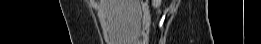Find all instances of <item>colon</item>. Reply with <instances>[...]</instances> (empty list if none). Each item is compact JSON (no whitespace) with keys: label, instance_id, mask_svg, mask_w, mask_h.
<instances>
[{"label":"colon","instance_id":"colon-1","mask_svg":"<svg viewBox=\"0 0 261 44\" xmlns=\"http://www.w3.org/2000/svg\"><path fill=\"white\" fill-rule=\"evenodd\" d=\"M141 2L144 4L146 1H141ZM143 13H144L143 19H144V21H145V19H146V14H147L146 6H144V8H143Z\"/></svg>","mask_w":261,"mask_h":44}]
</instances>
